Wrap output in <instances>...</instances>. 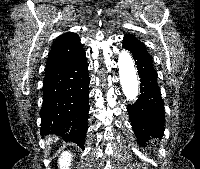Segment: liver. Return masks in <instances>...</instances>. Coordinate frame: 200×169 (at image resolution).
<instances>
[{"instance_id": "liver-1", "label": "liver", "mask_w": 200, "mask_h": 169, "mask_svg": "<svg viewBox=\"0 0 200 169\" xmlns=\"http://www.w3.org/2000/svg\"><path fill=\"white\" fill-rule=\"evenodd\" d=\"M59 137L57 136H50L46 139V143L47 144H52L53 142H56L58 141Z\"/></svg>"}]
</instances>
